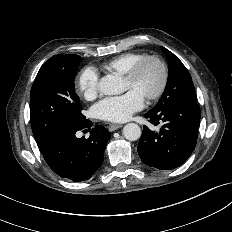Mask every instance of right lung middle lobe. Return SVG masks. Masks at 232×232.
Segmentation results:
<instances>
[{
	"label": "right lung middle lobe",
	"instance_id": "right-lung-middle-lobe-1",
	"mask_svg": "<svg viewBox=\"0 0 232 232\" xmlns=\"http://www.w3.org/2000/svg\"><path fill=\"white\" fill-rule=\"evenodd\" d=\"M81 57L54 55L40 68L30 93L31 128L41 153L58 132L86 122L75 92L74 78Z\"/></svg>",
	"mask_w": 232,
	"mask_h": 232
}]
</instances>
